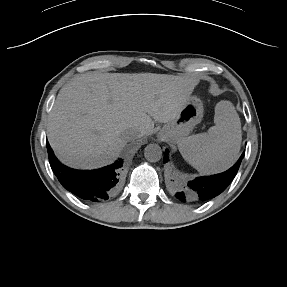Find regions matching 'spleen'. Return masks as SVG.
<instances>
[{
  "label": "spleen",
  "instance_id": "1",
  "mask_svg": "<svg viewBox=\"0 0 287 287\" xmlns=\"http://www.w3.org/2000/svg\"><path fill=\"white\" fill-rule=\"evenodd\" d=\"M214 122L207 132L184 137L177 143L182 157L205 174L229 169L238 159L242 142L240 118L230 102L217 103Z\"/></svg>",
  "mask_w": 287,
  "mask_h": 287
}]
</instances>
